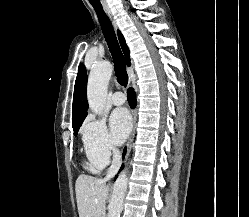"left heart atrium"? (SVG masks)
<instances>
[{
	"mask_svg": "<svg viewBox=\"0 0 249 217\" xmlns=\"http://www.w3.org/2000/svg\"><path fill=\"white\" fill-rule=\"evenodd\" d=\"M110 127L114 141L118 144L124 142L131 129L128 111L123 108L114 110L110 117Z\"/></svg>",
	"mask_w": 249,
	"mask_h": 217,
	"instance_id": "left-heart-atrium-1",
	"label": "left heart atrium"
}]
</instances>
